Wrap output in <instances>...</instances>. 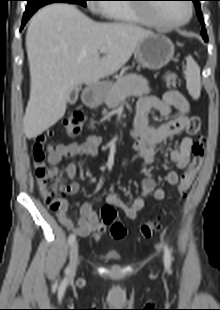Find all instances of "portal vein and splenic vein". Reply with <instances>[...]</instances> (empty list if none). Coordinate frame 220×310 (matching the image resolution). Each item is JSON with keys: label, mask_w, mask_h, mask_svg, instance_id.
<instances>
[{"label": "portal vein and splenic vein", "mask_w": 220, "mask_h": 310, "mask_svg": "<svg viewBox=\"0 0 220 310\" xmlns=\"http://www.w3.org/2000/svg\"><path fill=\"white\" fill-rule=\"evenodd\" d=\"M106 51H107L106 48H101V49H100V53H103V54H104V53H106Z\"/></svg>", "instance_id": "18ae733b"}]
</instances>
